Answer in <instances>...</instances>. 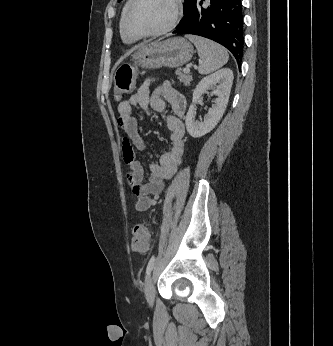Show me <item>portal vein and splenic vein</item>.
<instances>
[{
	"mask_svg": "<svg viewBox=\"0 0 333 346\" xmlns=\"http://www.w3.org/2000/svg\"><path fill=\"white\" fill-rule=\"evenodd\" d=\"M185 73H190V69L189 68H185L184 70H183Z\"/></svg>",
	"mask_w": 333,
	"mask_h": 346,
	"instance_id": "obj_1",
	"label": "portal vein and splenic vein"
}]
</instances>
